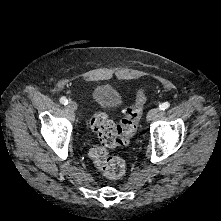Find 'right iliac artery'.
Segmentation results:
<instances>
[{"label":"right iliac artery","mask_w":221,"mask_h":221,"mask_svg":"<svg viewBox=\"0 0 221 221\" xmlns=\"http://www.w3.org/2000/svg\"><path fill=\"white\" fill-rule=\"evenodd\" d=\"M60 103L63 105H67L68 104V99L66 97H61L60 98Z\"/></svg>","instance_id":"obj_1"}]
</instances>
